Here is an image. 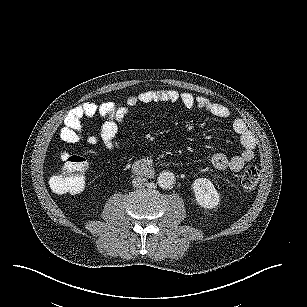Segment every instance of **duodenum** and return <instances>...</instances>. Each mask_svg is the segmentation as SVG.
Returning a JSON list of instances; mask_svg holds the SVG:
<instances>
[{
	"instance_id": "duodenum-1",
	"label": "duodenum",
	"mask_w": 307,
	"mask_h": 307,
	"mask_svg": "<svg viewBox=\"0 0 307 307\" xmlns=\"http://www.w3.org/2000/svg\"><path fill=\"white\" fill-rule=\"evenodd\" d=\"M132 170L135 174L143 176H152L155 172L153 163L150 159L136 161L132 166Z\"/></svg>"
}]
</instances>
